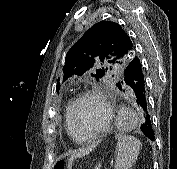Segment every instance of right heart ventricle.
<instances>
[{"label": "right heart ventricle", "mask_w": 177, "mask_h": 169, "mask_svg": "<svg viewBox=\"0 0 177 169\" xmlns=\"http://www.w3.org/2000/svg\"><path fill=\"white\" fill-rule=\"evenodd\" d=\"M71 100H69L65 106V130L67 135L75 142H85V141H79L76 137V135L73 132L72 126H71V121H70V111H71V106H72Z\"/></svg>", "instance_id": "obj_1"}]
</instances>
